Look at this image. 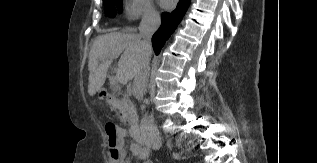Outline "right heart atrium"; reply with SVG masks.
<instances>
[{
  "label": "right heart atrium",
  "instance_id": "right-heart-atrium-1",
  "mask_svg": "<svg viewBox=\"0 0 317 163\" xmlns=\"http://www.w3.org/2000/svg\"><path fill=\"white\" fill-rule=\"evenodd\" d=\"M123 9L129 20L140 17L152 18L157 15L151 0H123Z\"/></svg>",
  "mask_w": 317,
  "mask_h": 163
}]
</instances>
